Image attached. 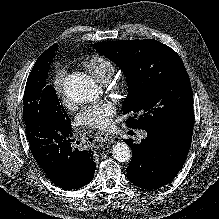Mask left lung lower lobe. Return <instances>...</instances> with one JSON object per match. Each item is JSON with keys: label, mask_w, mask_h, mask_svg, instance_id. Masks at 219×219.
I'll return each instance as SVG.
<instances>
[{"label": "left lung lower lobe", "mask_w": 219, "mask_h": 219, "mask_svg": "<svg viewBox=\"0 0 219 219\" xmlns=\"http://www.w3.org/2000/svg\"><path fill=\"white\" fill-rule=\"evenodd\" d=\"M147 133V138L139 145L126 140L132 149L127 176L136 186L153 190L170 183L182 169L191 146L193 128Z\"/></svg>", "instance_id": "1"}]
</instances>
